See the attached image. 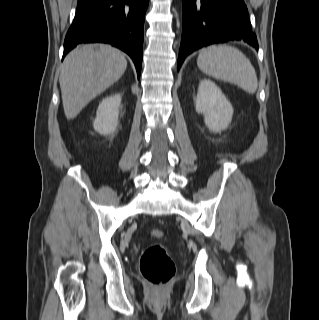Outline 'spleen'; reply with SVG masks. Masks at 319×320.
<instances>
[{
	"mask_svg": "<svg viewBox=\"0 0 319 320\" xmlns=\"http://www.w3.org/2000/svg\"><path fill=\"white\" fill-rule=\"evenodd\" d=\"M197 65L205 74L238 85L253 94L258 87L257 75L250 60L228 45H211L200 51Z\"/></svg>",
	"mask_w": 319,
	"mask_h": 320,
	"instance_id": "spleen-1",
	"label": "spleen"
}]
</instances>
